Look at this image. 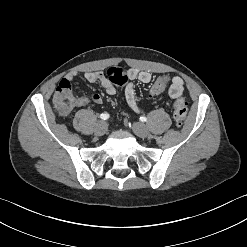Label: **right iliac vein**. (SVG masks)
I'll use <instances>...</instances> for the list:
<instances>
[{"label":"right iliac vein","instance_id":"63e3f726","mask_svg":"<svg viewBox=\"0 0 247 247\" xmlns=\"http://www.w3.org/2000/svg\"><path fill=\"white\" fill-rule=\"evenodd\" d=\"M107 128V123L105 121H99L95 126L94 132L96 135L102 136L106 133Z\"/></svg>","mask_w":247,"mask_h":247}]
</instances>
